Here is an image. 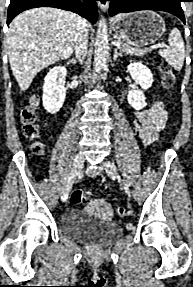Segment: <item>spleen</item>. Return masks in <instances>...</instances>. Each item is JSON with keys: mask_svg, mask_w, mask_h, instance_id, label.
<instances>
[{"mask_svg": "<svg viewBox=\"0 0 193 287\" xmlns=\"http://www.w3.org/2000/svg\"><path fill=\"white\" fill-rule=\"evenodd\" d=\"M167 49L159 50V55L163 57L176 71H180L183 67L185 58V46L180 31L173 28L169 34Z\"/></svg>", "mask_w": 193, "mask_h": 287, "instance_id": "3e777b00", "label": "spleen"}]
</instances>
